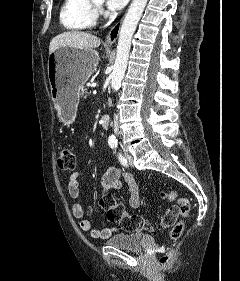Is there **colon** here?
I'll return each mask as SVG.
<instances>
[{
  "label": "colon",
  "instance_id": "obj_1",
  "mask_svg": "<svg viewBox=\"0 0 240 281\" xmlns=\"http://www.w3.org/2000/svg\"><path fill=\"white\" fill-rule=\"evenodd\" d=\"M57 166L62 171H72L76 168V157L69 148L60 151L57 158ZM161 198L167 202L173 203L165 212L162 218L164 227H172L170 231L171 241H177L184 230L185 220L190 212V202L187 198L180 197L174 190H165L161 192ZM99 206L105 211L107 218L111 222H116L122 229L133 232L138 230H148L147 221L134 214H128L123 205L117 203L109 196L102 197L99 200ZM181 219L178 221V218ZM170 259L169 254H164L158 259L160 265H165Z\"/></svg>",
  "mask_w": 240,
  "mask_h": 281
}]
</instances>
